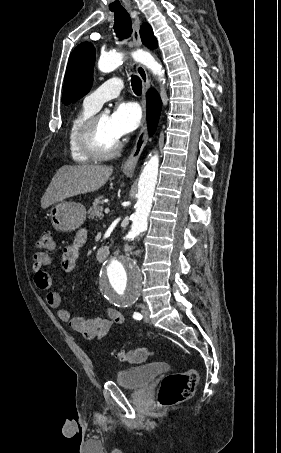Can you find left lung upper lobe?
<instances>
[{
    "label": "left lung upper lobe",
    "mask_w": 281,
    "mask_h": 453,
    "mask_svg": "<svg viewBox=\"0 0 281 453\" xmlns=\"http://www.w3.org/2000/svg\"><path fill=\"white\" fill-rule=\"evenodd\" d=\"M95 48L89 42L79 44L67 65L62 103L69 105L87 94L93 82Z\"/></svg>",
    "instance_id": "1"
}]
</instances>
